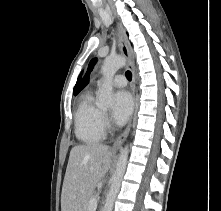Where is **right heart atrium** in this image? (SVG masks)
I'll return each instance as SVG.
<instances>
[{
  "instance_id": "1",
  "label": "right heart atrium",
  "mask_w": 221,
  "mask_h": 211,
  "mask_svg": "<svg viewBox=\"0 0 221 211\" xmlns=\"http://www.w3.org/2000/svg\"><path fill=\"white\" fill-rule=\"evenodd\" d=\"M100 122H101V126H102L103 129L109 128L110 121H109V118L106 115V113L101 112Z\"/></svg>"
}]
</instances>
